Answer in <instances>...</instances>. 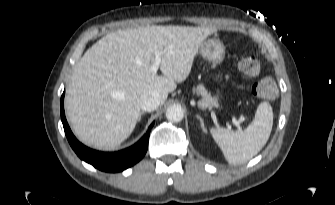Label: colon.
Wrapping results in <instances>:
<instances>
[{
	"label": "colon",
	"instance_id": "5ec220e1",
	"mask_svg": "<svg viewBox=\"0 0 335 205\" xmlns=\"http://www.w3.org/2000/svg\"><path fill=\"white\" fill-rule=\"evenodd\" d=\"M239 69L246 77L256 76L260 71L258 56L254 53L244 56L239 62ZM253 93L258 98L274 99L278 94V89L272 78L265 77L254 84Z\"/></svg>",
	"mask_w": 335,
	"mask_h": 205
}]
</instances>
